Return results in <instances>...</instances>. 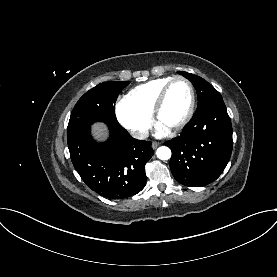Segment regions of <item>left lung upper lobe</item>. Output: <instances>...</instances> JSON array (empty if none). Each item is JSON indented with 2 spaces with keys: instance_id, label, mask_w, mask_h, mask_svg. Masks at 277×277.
I'll list each match as a JSON object with an SVG mask.
<instances>
[{
  "instance_id": "1",
  "label": "left lung upper lobe",
  "mask_w": 277,
  "mask_h": 277,
  "mask_svg": "<svg viewBox=\"0 0 277 277\" xmlns=\"http://www.w3.org/2000/svg\"><path fill=\"white\" fill-rule=\"evenodd\" d=\"M178 73L190 80L195 87L198 97L197 110L201 109L215 99L222 98L220 93L203 78L184 71H179Z\"/></svg>"
}]
</instances>
